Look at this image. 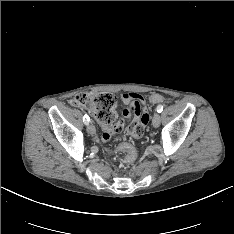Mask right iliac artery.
Returning a JSON list of instances; mask_svg holds the SVG:
<instances>
[{"instance_id":"1","label":"right iliac artery","mask_w":234,"mask_h":234,"mask_svg":"<svg viewBox=\"0 0 234 234\" xmlns=\"http://www.w3.org/2000/svg\"><path fill=\"white\" fill-rule=\"evenodd\" d=\"M83 121H84V123H85L86 125H88V124H89V121H90L89 116H88V115H84Z\"/></svg>"}]
</instances>
